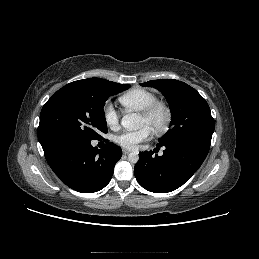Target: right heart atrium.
Here are the masks:
<instances>
[{
	"label": "right heart atrium",
	"instance_id": "d8ad5b80",
	"mask_svg": "<svg viewBox=\"0 0 259 259\" xmlns=\"http://www.w3.org/2000/svg\"><path fill=\"white\" fill-rule=\"evenodd\" d=\"M103 118L105 123L111 128L116 129L119 124V114L111 102H106L103 106Z\"/></svg>",
	"mask_w": 259,
	"mask_h": 259
}]
</instances>
